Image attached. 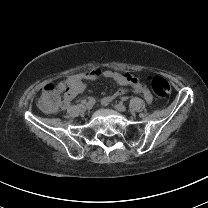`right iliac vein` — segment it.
<instances>
[{
  "label": "right iliac vein",
  "instance_id": "obj_1",
  "mask_svg": "<svg viewBox=\"0 0 208 208\" xmlns=\"http://www.w3.org/2000/svg\"><path fill=\"white\" fill-rule=\"evenodd\" d=\"M93 103L92 102H88L87 104H86V109L88 110V111H90L92 108H93Z\"/></svg>",
  "mask_w": 208,
  "mask_h": 208
}]
</instances>
